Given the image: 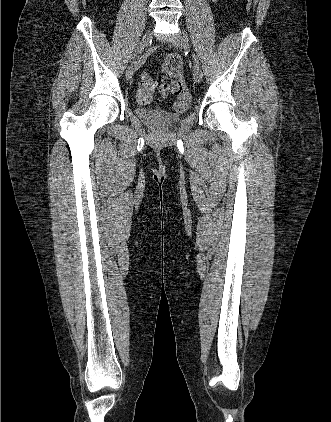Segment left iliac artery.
<instances>
[{"instance_id":"1","label":"left iliac artery","mask_w":331,"mask_h":422,"mask_svg":"<svg viewBox=\"0 0 331 422\" xmlns=\"http://www.w3.org/2000/svg\"><path fill=\"white\" fill-rule=\"evenodd\" d=\"M193 59H194V62H195V66L199 67V62H198V59H197L195 54H193Z\"/></svg>"}]
</instances>
